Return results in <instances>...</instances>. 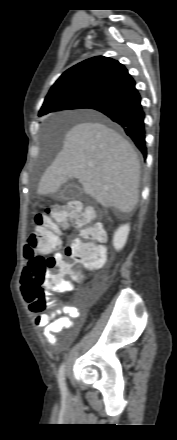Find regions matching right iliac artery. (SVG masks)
I'll return each mask as SVG.
<instances>
[{
	"label": "right iliac artery",
	"mask_w": 177,
	"mask_h": 440,
	"mask_svg": "<svg viewBox=\"0 0 177 440\" xmlns=\"http://www.w3.org/2000/svg\"><path fill=\"white\" fill-rule=\"evenodd\" d=\"M64 376H65V364H62L60 366V369H59L58 383H59V387H60L61 393L63 395H66L67 394V387H66L65 377Z\"/></svg>",
	"instance_id": "obj_1"
}]
</instances>
